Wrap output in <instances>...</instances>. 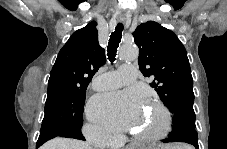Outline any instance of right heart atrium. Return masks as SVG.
Wrapping results in <instances>:
<instances>
[{
  "mask_svg": "<svg viewBox=\"0 0 227 149\" xmlns=\"http://www.w3.org/2000/svg\"><path fill=\"white\" fill-rule=\"evenodd\" d=\"M83 132L93 145L104 146L113 142V138L99 125L87 123L83 128Z\"/></svg>",
  "mask_w": 227,
  "mask_h": 149,
  "instance_id": "1",
  "label": "right heart atrium"
}]
</instances>
